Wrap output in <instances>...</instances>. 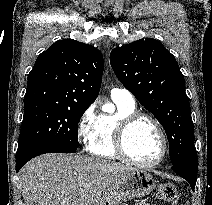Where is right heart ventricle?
Wrapping results in <instances>:
<instances>
[{
    "label": "right heart ventricle",
    "instance_id": "e07e8e85",
    "mask_svg": "<svg viewBox=\"0 0 212 205\" xmlns=\"http://www.w3.org/2000/svg\"><path fill=\"white\" fill-rule=\"evenodd\" d=\"M117 111L114 114H103L97 118L93 136L87 144V150L94 156L118 160L122 157L117 153L114 146V130L117 121L135 111V104L114 100Z\"/></svg>",
    "mask_w": 212,
    "mask_h": 205
}]
</instances>
